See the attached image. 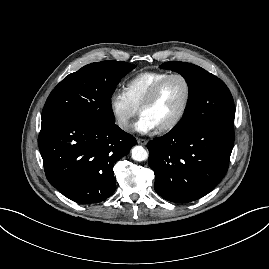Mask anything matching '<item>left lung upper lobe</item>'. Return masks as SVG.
Returning a JSON list of instances; mask_svg holds the SVG:
<instances>
[{
    "mask_svg": "<svg viewBox=\"0 0 269 269\" xmlns=\"http://www.w3.org/2000/svg\"><path fill=\"white\" fill-rule=\"evenodd\" d=\"M160 68L181 74L190 89L185 114L172 131L188 132L218 120L234 121V101L222 80L199 66L185 62H165Z\"/></svg>",
    "mask_w": 269,
    "mask_h": 269,
    "instance_id": "obj_1",
    "label": "left lung upper lobe"
}]
</instances>
